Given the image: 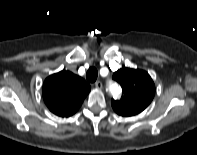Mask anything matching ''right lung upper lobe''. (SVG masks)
<instances>
[{
  "label": "right lung upper lobe",
  "mask_w": 197,
  "mask_h": 155,
  "mask_svg": "<svg viewBox=\"0 0 197 155\" xmlns=\"http://www.w3.org/2000/svg\"><path fill=\"white\" fill-rule=\"evenodd\" d=\"M90 92V85L69 71H60L46 78L43 84V99L49 110L69 117L81 106Z\"/></svg>",
  "instance_id": "cb5924a9"
}]
</instances>
